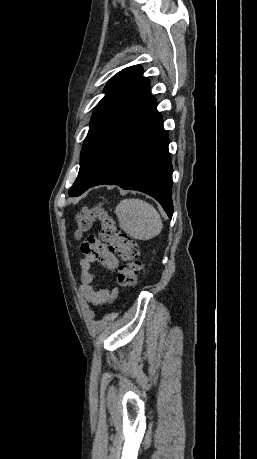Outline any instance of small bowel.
<instances>
[{
    "label": "small bowel",
    "mask_w": 257,
    "mask_h": 459,
    "mask_svg": "<svg viewBox=\"0 0 257 459\" xmlns=\"http://www.w3.org/2000/svg\"><path fill=\"white\" fill-rule=\"evenodd\" d=\"M83 257L79 261L80 268V293L93 305L111 304L118 296V288H100L95 284L99 269L114 272L118 260L112 251L97 239L91 237L81 245Z\"/></svg>",
    "instance_id": "1"
}]
</instances>
